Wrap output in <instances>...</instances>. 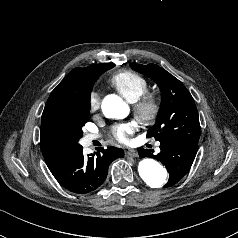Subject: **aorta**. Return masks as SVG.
Here are the masks:
<instances>
[{
	"label": "aorta",
	"mask_w": 238,
	"mask_h": 238,
	"mask_svg": "<svg viewBox=\"0 0 238 238\" xmlns=\"http://www.w3.org/2000/svg\"><path fill=\"white\" fill-rule=\"evenodd\" d=\"M102 111L108 118H125L129 108L118 96H108L102 103ZM138 172L142 180L151 188H161L167 182V170L154 159H142L138 165Z\"/></svg>",
	"instance_id": "obj_1"
}]
</instances>
